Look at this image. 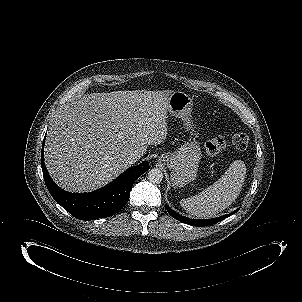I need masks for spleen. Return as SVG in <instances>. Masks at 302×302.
Wrapping results in <instances>:
<instances>
[{
    "mask_svg": "<svg viewBox=\"0 0 302 302\" xmlns=\"http://www.w3.org/2000/svg\"><path fill=\"white\" fill-rule=\"evenodd\" d=\"M246 168L241 160L232 162L224 175L198 195L182 199L180 205L190 215L212 218L228 208L239 196Z\"/></svg>",
    "mask_w": 302,
    "mask_h": 302,
    "instance_id": "obj_1",
    "label": "spleen"
}]
</instances>
